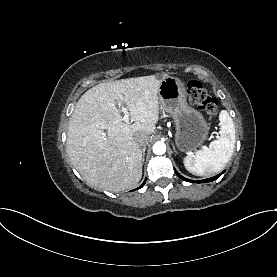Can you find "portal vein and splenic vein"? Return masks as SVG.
<instances>
[{"mask_svg": "<svg viewBox=\"0 0 277 277\" xmlns=\"http://www.w3.org/2000/svg\"><path fill=\"white\" fill-rule=\"evenodd\" d=\"M119 108H121V111L124 113V117H123V121L125 123L129 122V111L127 110V108L121 106V104H119Z\"/></svg>", "mask_w": 277, "mask_h": 277, "instance_id": "1", "label": "portal vein and splenic vein"}]
</instances>
